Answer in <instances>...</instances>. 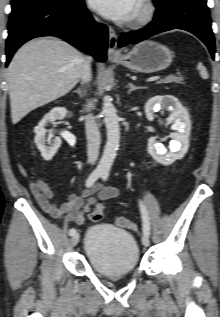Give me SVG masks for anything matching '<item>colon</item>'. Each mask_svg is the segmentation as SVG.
I'll return each mask as SVG.
<instances>
[{"label": "colon", "instance_id": "colon-1", "mask_svg": "<svg viewBox=\"0 0 220 317\" xmlns=\"http://www.w3.org/2000/svg\"><path fill=\"white\" fill-rule=\"evenodd\" d=\"M103 217V207L102 206H98L96 208H94L90 214V219L93 222H99ZM116 224L120 227H124V228H130V229H134L135 225L134 223L129 220L126 217H117L116 218Z\"/></svg>", "mask_w": 220, "mask_h": 317}]
</instances>
